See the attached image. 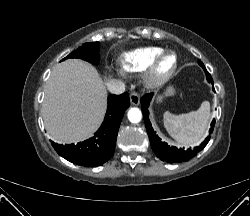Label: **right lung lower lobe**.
Here are the masks:
<instances>
[{"mask_svg":"<svg viewBox=\"0 0 250 216\" xmlns=\"http://www.w3.org/2000/svg\"><path fill=\"white\" fill-rule=\"evenodd\" d=\"M130 106L127 92L108 97L105 119L95 136L76 145H58L52 142L56 152L66 160L86 167H96L108 161L115 150L118 129L125 110Z\"/></svg>","mask_w":250,"mask_h":216,"instance_id":"1","label":"right lung lower lobe"}]
</instances>
